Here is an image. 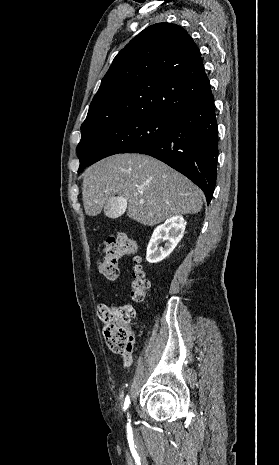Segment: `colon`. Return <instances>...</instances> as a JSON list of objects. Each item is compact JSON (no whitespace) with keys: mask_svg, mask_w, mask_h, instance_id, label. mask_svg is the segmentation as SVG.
<instances>
[{"mask_svg":"<svg viewBox=\"0 0 279 465\" xmlns=\"http://www.w3.org/2000/svg\"><path fill=\"white\" fill-rule=\"evenodd\" d=\"M125 256H133L130 295L134 303H140L150 290V282L140 264L137 245L133 239L126 234L108 237L97 263L98 270L110 280L117 279L119 261ZM98 315L104 324L103 334L110 349L119 354L131 353L134 339L129 324L135 316L134 308L131 305H100Z\"/></svg>","mask_w":279,"mask_h":465,"instance_id":"5ec220e1","label":"colon"}]
</instances>
